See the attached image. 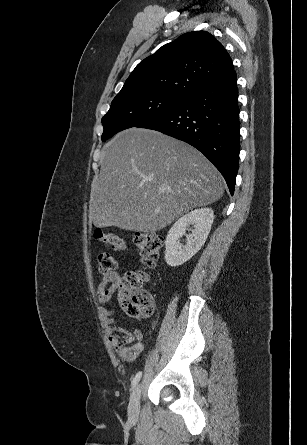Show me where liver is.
I'll return each mask as SVG.
<instances>
[{
	"instance_id": "6515ba94",
	"label": "liver",
	"mask_w": 307,
	"mask_h": 445,
	"mask_svg": "<svg viewBox=\"0 0 307 445\" xmlns=\"http://www.w3.org/2000/svg\"><path fill=\"white\" fill-rule=\"evenodd\" d=\"M102 156L89 200V216L100 229L156 233L223 196V178L212 162L158 130L126 128L106 142Z\"/></svg>"
}]
</instances>
